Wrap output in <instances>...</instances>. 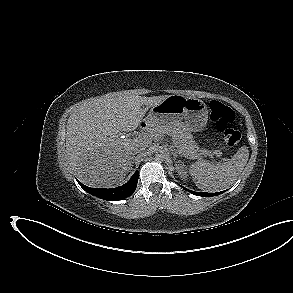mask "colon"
I'll use <instances>...</instances> for the list:
<instances>
[{
	"label": "colon",
	"mask_w": 293,
	"mask_h": 293,
	"mask_svg": "<svg viewBox=\"0 0 293 293\" xmlns=\"http://www.w3.org/2000/svg\"><path fill=\"white\" fill-rule=\"evenodd\" d=\"M209 109L211 120L222 133L225 144L230 148L235 147L241 139V133L236 123L234 111L217 100H212L209 103Z\"/></svg>",
	"instance_id": "obj_1"
}]
</instances>
